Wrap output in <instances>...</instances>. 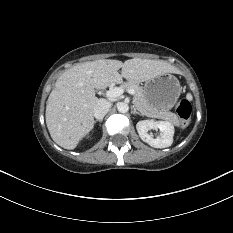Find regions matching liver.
I'll use <instances>...</instances> for the list:
<instances>
[{
	"instance_id": "6515ba94",
	"label": "liver",
	"mask_w": 233,
	"mask_h": 233,
	"mask_svg": "<svg viewBox=\"0 0 233 233\" xmlns=\"http://www.w3.org/2000/svg\"><path fill=\"white\" fill-rule=\"evenodd\" d=\"M121 69V74L118 70ZM179 70L162 60L133 58L124 63L101 59L66 70L57 79L46 105V125L56 144L72 150L94 126L95 89L119 84L122 78L137 84Z\"/></svg>"
}]
</instances>
